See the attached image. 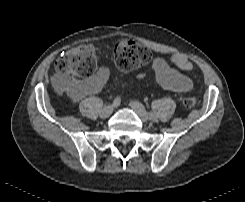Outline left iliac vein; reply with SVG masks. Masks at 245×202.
<instances>
[{
	"label": "left iliac vein",
	"mask_w": 245,
	"mask_h": 202,
	"mask_svg": "<svg viewBox=\"0 0 245 202\" xmlns=\"http://www.w3.org/2000/svg\"><path fill=\"white\" fill-rule=\"evenodd\" d=\"M131 108L135 111V113L140 117V119L143 122H148L150 120L145 108L143 107V105L138 102V101H131L130 103ZM155 118V116H154Z\"/></svg>",
	"instance_id": "obj_1"
}]
</instances>
